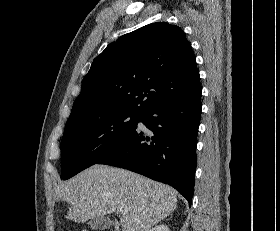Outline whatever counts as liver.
<instances>
[{"label": "liver", "instance_id": "liver-1", "mask_svg": "<svg viewBox=\"0 0 280 231\" xmlns=\"http://www.w3.org/2000/svg\"><path fill=\"white\" fill-rule=\"evenodd\" d=\"M58 197L70 203L66 217L78 223L124 207L115 231H149L177 207L173 187L108 165H92L64 181Z\"/></svg>", "mask_w": 280, "mask_h": 231}]
</instances>
